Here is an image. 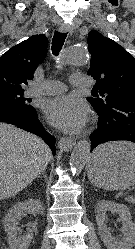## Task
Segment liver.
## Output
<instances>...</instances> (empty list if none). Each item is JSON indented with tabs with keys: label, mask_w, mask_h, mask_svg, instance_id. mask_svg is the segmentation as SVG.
I'll use <instances>...</instances> for the list:
<instances>
[{
	"label": "liver",
	"mask_w": 135,
	"mask_h": 249,
	"mask_svg": "<svg viewBox=\"0 0 135 249\" xmlns=\"http://www.w3.org/2000/svg\"><path fill=\"white\" fill-rule=\"evenodd\" d=\"M52 158L38 137L0 123V200L13 197L46 170Z\"/></svg>",
	"instance_id": "liver-1"
}]
</instances>
